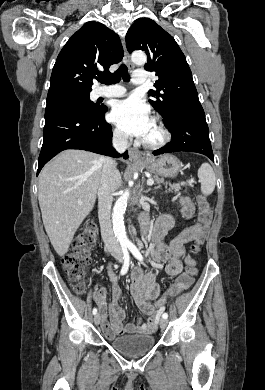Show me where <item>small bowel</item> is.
Segmentation results:
<instances>
[{
    "label": "small bowel",
    "mask_w": 265,
    "mask_h": 390,
    "mask_svg": "<svg viewBox=\"0 0 265 390\" xmlns=\"http://www.w3.org/2000/svg\"><path fill=\"white\" fill-rule=\"evenodd\" d=\"M179 203L183 216L190 218L194 213V204L190 198L181 196ZM173 225V217L170 214L162 215L156 222L153 232V249L151 259L154 263H166V272L172 276L181 273L183 264L194 265L195 261L186 255L184 246L192 241L203 239L205 225L197 223L183 229L169 242L165 238ZM112 282L110 297L107 299V290L101 287L93 296L95 303L102 312V328L108 338L125 333L147 334L156 330L159 319L154 301L160 295V286L156 282L153 272H144L134 269L131 274L130 293L138 310L146 316L138 323H124L126 312L118 304L121 291L117 283V277L112 271V265H108Z\"/></svg>",
    "instance_id": "small-bowel-1"
}]
</instances>
